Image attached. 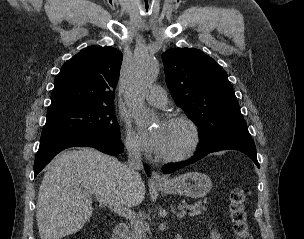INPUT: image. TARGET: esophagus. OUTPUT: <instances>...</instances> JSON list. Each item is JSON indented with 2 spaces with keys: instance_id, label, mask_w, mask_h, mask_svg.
<instances>
[{
  "instance_id": "esophagus-1",
  "label": "esophagus",
  "mask_w": 304,
  "mask_h": 239,
  "mask_svg": "<svg viewBox=\"0 0 304 239\" xmlns=\"http://www.w3.org/2000/svg\"><path fill=\"white\" fill-rule=\"evenodd\" d=\"M151 181L155 184H161L165 182V179L160 174H158L156 171L153 170L151 173Z\"/></svg>"
}]
</instances>
